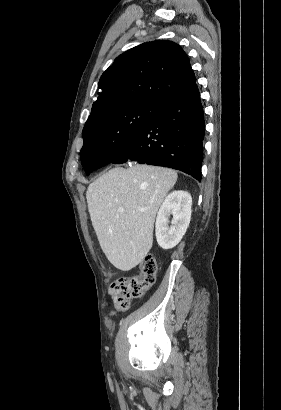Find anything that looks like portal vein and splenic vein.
Masks as SVG:
<instances>
[{
  "mask_svg": "<svg viewBox=\"0 0 281 410\" xmlns=\"http://www.w3.org/2000/svg\"><path fill=\"white\" fill-rule=\"evenodd\" d=\"M139 211H145V209L139 208ZM121 212H124V209H121Z\"/></svg>",
  "mask_w": 281,
  "mask_h": 410,
  "instance_id": "obj_1",
  "label": "portal vein and splenic vein"
}]
</instances>
